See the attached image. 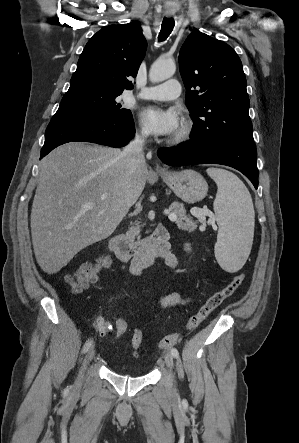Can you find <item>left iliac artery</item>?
<instances>
[{"instance_id": "obj_1", "label": "left iliac artery", "mask_w": 299, "mask_h": 443, "mask_svg": "<svg viewBox=\"0 0 299 443\" xmlns=\"http://www.w3.org/2000/svg\"><path fill=\"white\" fill-rule=\"evenodd\" d=\"M171 354L175 357L178 358L179 357V352L176 348H172L171 349Z\"/></svg>"}]
</instances>
